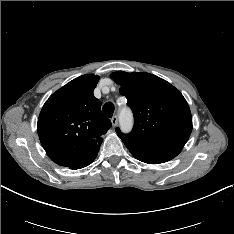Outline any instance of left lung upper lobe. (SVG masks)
<instances>
[{
  "label": "left lung upper lobe",
  "mask_w": 234,
  "mask_h": 234,
  "mask_svg": "<svg viewBox=\"0 0 234 234\" xmlns=\"http://www.w3.org/2000/svg\"><path fill=\"white\" fill-rule=\"evenodd\" d=\"M134 114V128L123 142L152 148H182L192 131L190 108L181 92L150 73L111 74Z\"/></svg>",
  "instance_id": "5c2ea615"
}]
</instances>
